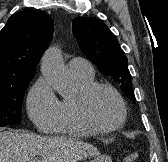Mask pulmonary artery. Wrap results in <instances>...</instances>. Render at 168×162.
I'll list each match as a JSON object with an SVG mask.
<instances>
[{"label":"pulmonary artery","instance_id":"pulmonary-artery-1","mask_svg":"<svg viewBox=\"0 0 168 162\" xmlns=\"http://www.w3.org/2000/svg\"><path fill=\"white\" fill-rule=\"evenodd\" d=\"M68 67L72 75L81 77H91L94 75L92 65L83 58H72L68 63Z\"/></svg>","mask_w":168,"mask_h":162}]
</instances>
